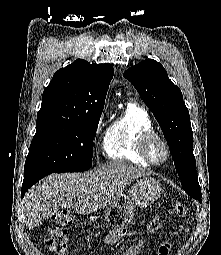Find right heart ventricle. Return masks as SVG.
Wrapping results in <instances>:
<instances>
[{
    "label": "right heart ventricle",
    "mask_w": 221,
    "mask_h": 255,
    "mask_svg": "<svg viewBox=\"0 0 221 255\" xmlns=\"http://www.w3.org/2000/svg\"><path fill=\"white\" fill-rule=\"evenodd\" d=\"M153 130L149 113L141 106L130 103L113 117L103 137V155L115 161H125L138 166L150 164L138 150V140L142 133Z\"/></svg>",
    "instance_id": "1"
}]
</instances>
